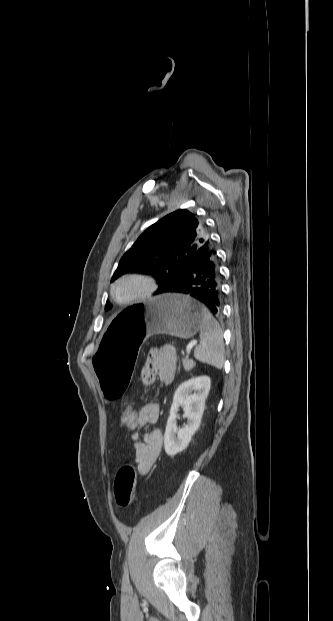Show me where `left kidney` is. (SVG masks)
<instances>
[{"mask_svg":"<svg viewBox=\"0 0 333 621\" xmlns=\"http://www.w3.org/2000/svg\"><path fill=\"white\" fill-rule=\"evenodd\" d=\"M210 385L209 377L200 376L183 382L175 391L164 435L167 455L174 456L188 446L192 435L200 426ZM180 406L183 407L187 424L178 429L176 419Z\"/></svg>","mask_w":333,"mask_h":621,"instance_id":"1","label":"left kidney"}]
</instances>
